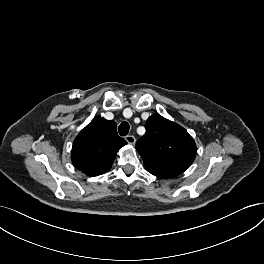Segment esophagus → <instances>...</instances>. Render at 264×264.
Returning a JSON list of instances; mask_svg holds the SVG:
<instances>
[{
	"mask_svg": "<svg viewBox=\"0 0 264 264\" xmlns=\"http://www.w3.org/2000/svg\"><path fill=\"white\" fill-rule=\"evenodd\" d=\"M125 139H126L128 144H134L136 141V139L133 135H127Z\"/></svg>",
	"mask_w": 264,
	"mask_h": 264,
	"instance_id": "34e87169",
	"label": "esophagus"
}]
</instances>
